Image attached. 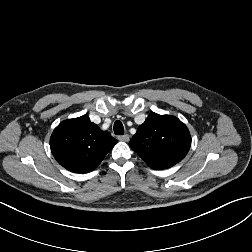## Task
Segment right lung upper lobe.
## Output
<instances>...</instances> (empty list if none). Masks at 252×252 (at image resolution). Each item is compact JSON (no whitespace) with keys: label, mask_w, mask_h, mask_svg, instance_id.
<instances>
[{"label":"right lung upper lobe","mask_w":252,"mask_h":252,"mask_svg":"<svg viewBox=\"0 0 252 252\" xmlns=\"http://www.w3.org/2000/svg\"><path fill=\"white\" fill-rule=\"evenodd\" d=\"M116 143L109 132L100 130L88 116L61 122L50 138L57 162L74 173L93 171Z\"/></svg>","instance_id":"cb5924a9"}]
</instances>
